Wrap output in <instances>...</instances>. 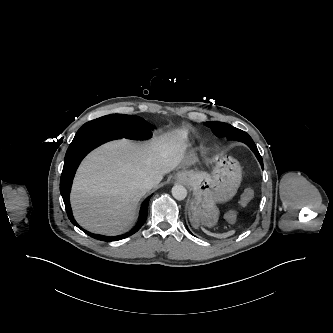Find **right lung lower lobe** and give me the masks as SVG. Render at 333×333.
Instances as JSON below:
<instances>
[{"mask_svg": "<svg viewBox=\"0 0 333 333\" xmlns=\"http://www.w3.org/2000/svg\"><path fill=\"white\" fill-rule=\"evenodd\" d=\"M121 136L113 133H109L106 131L100 130H91L82 134H76L72 143L70 144L64 159V167L61 175L60 180V192L65 204V208L67 211V215L70 221L83 230L87 235L93 237L98 240L102 241H117L124 238L129 237L130 235L137 232L141 226L144 224L147 214H148V202L151 196H149L142 204L140 217L136 226L128 233L114 236V237H107L99 234L90 233L84 229H82L74 220L72 216V211L70 208L69 203V193L71 189L72 180L75 174V171L80 164L81 160L85 157L87 153H89L92 149L96 148L97 146L113 140V139H120Z\"/></svg>", "mask_w": 333, "mask_h": 333, "instance_id": "obj_1", "label": "right lung lower lobe"}]
</instances>
